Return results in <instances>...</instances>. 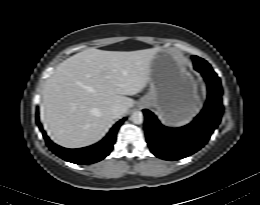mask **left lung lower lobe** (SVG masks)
<instances>
[{
	"mask_svg": "<svg viewBox=\"0 0 260 205\" xmlns=\"http://www.w3.org/2000/svg\"><path fill=\"white\" fill-rule=\"evenodd\" d=\"M195 69L207 82L208 98L193 122L184 127L169 128L161 125L152 112L143 110L147 143L151 152L161 159L178 160L195 153L207 143L220 123L223 111L220 78L212 69Z\"/></svg>",
	"mask_w": 260,
	"mask_h": 205,
	"instance_id": "1",
	"label": "left lung lower lobe"
}]
</instances>
